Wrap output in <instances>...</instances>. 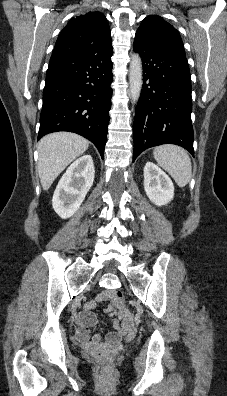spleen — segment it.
Segmentation results:
<instances>
[{
	"instance_id": "3e777b00",
	"label": "spleen",
	"mask_w": 227,
	"mask_h": 396,
	"mask_svg": "<svg viewBox=\"0 0 227 396\" xmlns=\"http://www.w3.org/2000/svg\"><path fill=\"white\" fill-rule=\"evenodd\" d=\"M157 163L165 169L180 187L188 184L191 178L192 165L188 153L181 147L166 144L154 149Z\"/></svg>"
}]
</instances>
